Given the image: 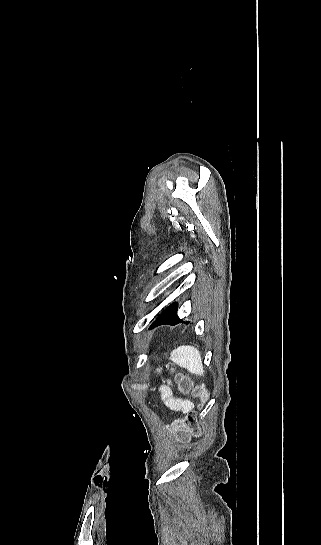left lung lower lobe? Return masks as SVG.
Returning <instances> with one entry per match:
<instances>
[{
  "label": "left lung lower lobe",
  "instance_id": "0a47b994",
  "mask_svg": "<svg viewBox=\"0 0 321 545\" xmlns=\"http://www.w3.org/2000/svg\"><path fill=\"white\" fill-rule=\"evenodd\" d=\"M177 308H178V303L176 302L172 303L169 307H167L161 313V315L151 325L150 329L161 324H176L179 322H184L183 320L179 319V317L177 316Z\"/></svg>",
  "mask_w": 321,
  "mask_h": 545
}]
</instances>
